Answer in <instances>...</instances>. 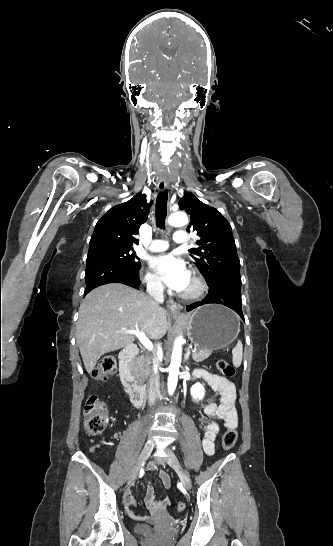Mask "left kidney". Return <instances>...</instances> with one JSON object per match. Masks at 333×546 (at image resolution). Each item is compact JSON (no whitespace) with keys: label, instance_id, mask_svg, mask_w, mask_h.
Returning <instances> with one entry per match:
<instances>
[{"label":"left kidney","instance_id":"1","mask_svg":"<svg viewBox=\"0 0 333 546\" xmlns=\"http://www.w3.org/2000/svg\"><path fill=\"white\" fill-rule=\"evenodd\" d=\"M190 393L194 400L196 401L202 400L205 396L204 384H200V383L195 384L194 386L191 387Z\"/></svg>","mask_w":333,"mask_h":546}]
</instances>
